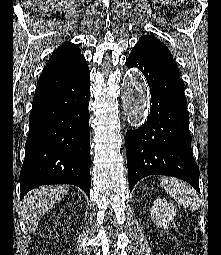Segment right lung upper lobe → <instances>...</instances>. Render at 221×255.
I'll return each instance as SVG.
<instances>
[{"mask_svg": "<svg viewBox=\"0 0 221 255\" xmlns=\"http://www.w3.org/2000/svg\"><path fill=\"white\" fill-rule=\"evenodd\" d=\"M81 57H83V55L81 54L78 46L76 44L66 42L52 54L45 66V69L43 70L42 76L56 72Z\"/></svg>", "mask_w": 221, "mask_h": 255, "instance_id": "cb5924a9", "label": "right lung upper lobe"}]
</instances>
